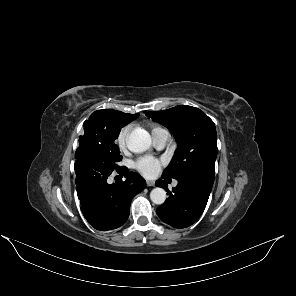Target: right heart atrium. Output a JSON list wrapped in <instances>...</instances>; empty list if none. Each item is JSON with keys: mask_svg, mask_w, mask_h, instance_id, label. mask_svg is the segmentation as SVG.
<instances>
[{"mask_svg": "<svg viewBox=\"0 0 296 296\" xmlns=\"http://www.w3.org/2000/svg\"><path fill=\"white\" fill-rule=\"evenodd\" d=\"M131 132V126L127 125L123 127L117 135L116 143L121 150H124L127 146V139Z\"/></svg>", "mask_w": 296, "mask_h": 296, "instance_id": "1", "label": "right heart atrium"}]
</instances>
